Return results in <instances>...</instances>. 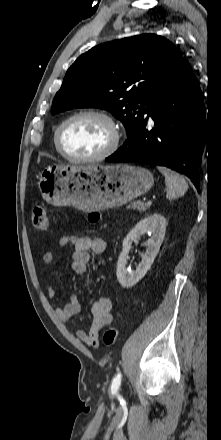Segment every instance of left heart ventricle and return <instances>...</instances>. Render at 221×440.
<instances>
[{
    "label": "left heart ventricle",
    "mask_w": 221,
    "mask_h": 440,
    "mask_svg": "<svg viewBox=\"0 0 221 440\" xmlns=\"http://www.w3.org/2000/svg\"><path fill=\"white\" fill-rule=\"evenodd\" d=\"M112 138L108 124L93 116L69 122L62 133V146L73 157H90L104 151Z\"/></svg>",
    "instance_id": "b2bd125f"
}]
</instances>
